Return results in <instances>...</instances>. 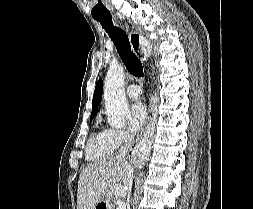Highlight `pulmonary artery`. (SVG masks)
I'll use <instances>...</instances> for the list:
<instances>
[{
    "label": "pulmonary artery",
    "instance_id": "pulmonary-artery-1",
    "mask_svg": "<svg viewBox=\"0 0 253 209\" xmlns=\"http://www.w3.org/2000/svg\"><path fill=\"white\" fill-rule=\"evenodd\" d=\"M126 93L130 98H138L141 95V89L137 84H131L127 87Z\"/></svg>",
    "mask_w": 253,
    "mask_h": 209
}]
</instances>
